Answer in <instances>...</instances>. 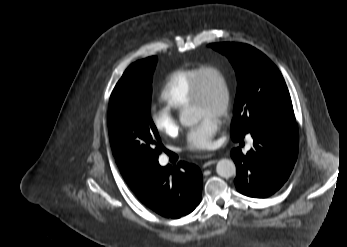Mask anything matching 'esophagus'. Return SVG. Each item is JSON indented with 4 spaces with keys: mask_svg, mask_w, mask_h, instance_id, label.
I'll use <instances>...</instances> for the list:
<instances>
[{
    "mask_svg": "<svg viewBox=\"0 0 347 247\" xmlns=\"http://www.w3.org/2000/svg\"><path fill=\"white\" fill-rule=\"evenodd\" d=\"M214 155H215V154L210 153V154H207V155L205 156V158H208V160L204 162V164H203V167H204V168L209 167V166H211V165L217 163V160H216V159H209V158L213 157Z\"/></svg>",
    "mask_w": 347,
    "mask_h": 247,
    "instance_id": "34e87169",
    "label": "esophagus"
}]
</instances>
